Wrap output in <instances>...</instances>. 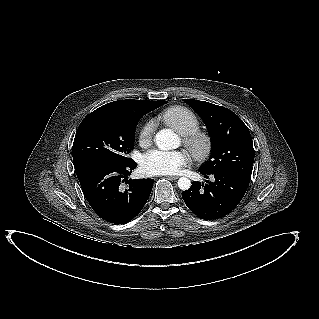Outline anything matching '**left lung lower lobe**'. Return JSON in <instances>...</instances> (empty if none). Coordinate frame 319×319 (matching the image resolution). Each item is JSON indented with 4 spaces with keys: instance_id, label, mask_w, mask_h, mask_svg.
<instances>
[{
    "instance_id": "1",
    "label": "left lung lower lobe",
    "mask_w": 319,
    "mask_h": 319,
    "mask_svg": "<svg viewBox=\"0 0 319 319\" xmlns=\"http://www.w3.org/2000/svg\"><path fill=\"white\" fill-rule=\"evenodd\" d=\"M199 172L205 178L211 175L213 182H193L190 189L182 192V198L195 215L205 220L224 217L234 210L250 183V180L231 171Z\"/></svg>"
}]
</instances>
